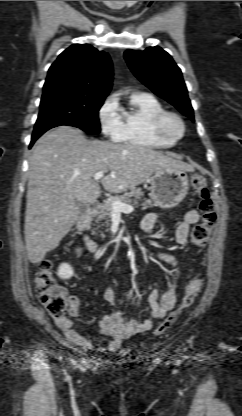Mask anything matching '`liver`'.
<instances>
[{
    "instance_id": "liver-1",
    "label": "liver",
    "mask_w": 242,
    "mask_h": 416,
    "mask_svg": "<svg viewBox=\"0 0 242 416\" xmlns=\"http://www.w3.org/2000/svg\"><path fill=\"white\" fill-rule=\"evenodd\" d=\"M192 171L186 163L132 144L88 140L82 131L59 126L35 143L29 163L25 242L30 262H41L55 249L79 218L77 202L88 205L105 190L121 193L145 182L162 168Z\"/></svg>"
}]
</instances>
